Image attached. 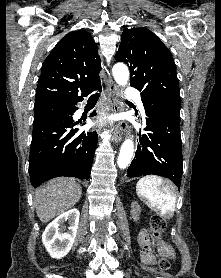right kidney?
<instances>
[{"instance_id":"right-kidney-1","label":"right kidney","mask_w":221,"mask_h":278,"mask_svg":"<svg viewBox=\"0 0 221 278\" xmlns=\"http://www.w3.org/2000/svg\"><path fill=\"white\" fill-rule=\"evenodd\" d=\"M80 213L71 209L52 221L42 235V242L52 258L61 259L66 256L75 241ZM68 221V231L65 222Z\"/></svg>"}]
</instances>
